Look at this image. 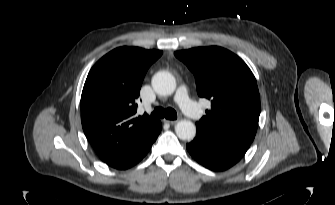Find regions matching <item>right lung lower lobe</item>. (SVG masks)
<instances>
[{
	"label": "right lung lower lobe",
	"instance_id": "1",
	"mask_svg": "<svg viewBox=\"0 0 335 205\" xmlns=\"http://www.w3.org/2000/svg\"><path fill=\"white\" fill-rule=\"evenodd\" d=\"M152 145V144H151ZM151 145L146 148L144 151H142L140 154L131 157L129 159H125V160H121V161H112V162H106L109 166L116 168V169H127L130 168L132 166H134L135 164H137L146 154L147 152L150 150Z\"/></svg>",
	"mask_w": 335,
	"mask_h": 205
}]
</instances>
